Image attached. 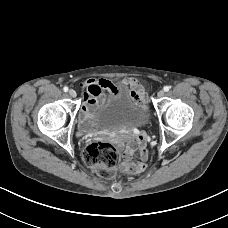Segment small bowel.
Wrapping results in <instances>:
<instances>
[{
    "mask_svg": "<svg viewBox=\"0 0 228 228\" xmlns=\"http://www.w3.org/2000/svg\"><path fill=\"white\" fill-rule=\"evenodd\" d=\"M124 84L130 86L132 97L143 104L146 100L145 92L139 81L133 78H126L123 80ZM85 89L83 92V105L81 109V116L83 119L89 118L93 112L98 108L104 98L105 90H112L115 86L106 79L92 78L81 83ZM136 149H139L140 160L133 162L132 157ZM147 150L143 145V137L130 142L124 150L123 170L130 174H139L145 171L147 167Z\"/></svg>",
    "mask_w": 228,
    "mask_h": 228,
    "instance_id": "obj_1",
    "label": "small bowel"
}]
</instances>
